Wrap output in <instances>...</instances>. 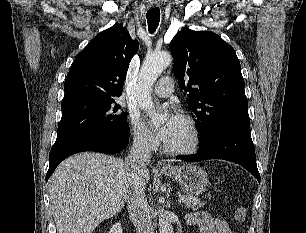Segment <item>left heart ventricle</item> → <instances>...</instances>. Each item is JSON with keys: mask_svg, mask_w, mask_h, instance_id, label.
<instances>
[{"mask_svg": "<svg viewBox=\"0 0 306 233\" xmlns=\"http://www.w3.org/2000/svg\"><path fill=\"white\" fill-rule=\"evenodd\" d=\"M192 142V133L188 124L181 119L171 137L165 142L171 148H185Z\"/></svg>", "mask_w": 306, "mask_h": 233, "instance_id": "1", "label": "left heart ventricle"}]
</instances>
